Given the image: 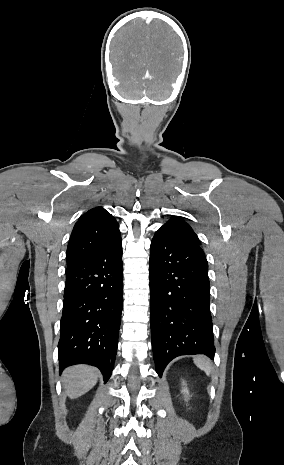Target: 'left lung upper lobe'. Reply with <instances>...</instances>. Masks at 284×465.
<instances>
[{
  "label": "left lung upper lobe",
  "instance_id": "left-lung-upper-lobe-1",
  "mask_svg": "<svg viewBox=\"0 0 284 465\" xmlns=\"http://www.w3.org/2000/svg\"><path fill=\"white\" fill-rule=\"evenodd\" d=\"M159 230H168L176 235L184 237L190 242L200 245V240L193 229L179 217H172Z\"/></svg>",
  "mask_w": 284,
  "mask_h": 465
}]
</instances>
